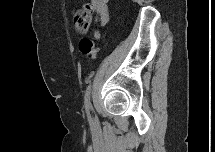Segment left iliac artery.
<instances>
[{
	"mask_svg": "<svg viewBox=\"0 0 215 152\" xmlns=\"http://www.w3.org/2000/svg\"><path fill=\"white\" fill-rule=\"evenodd\" d=\"M90 93H91V83L88 85L86 92H85V96H84L85 109L88 113H89V110L91 108Z\"/></svg>",
	"mask_w": 215,
	"mask_h": 152,
	"instance_id": "1",
	"label": "left iliac artery"
}]
</instances>
